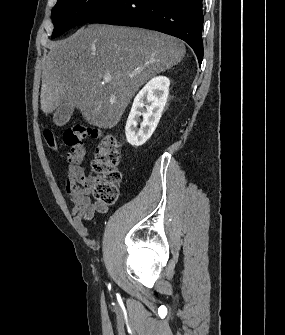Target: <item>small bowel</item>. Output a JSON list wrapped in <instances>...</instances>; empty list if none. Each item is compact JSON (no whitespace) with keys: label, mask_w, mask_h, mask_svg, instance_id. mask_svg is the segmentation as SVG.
Returning a JSON list of instances; mask_svg holds the SVG:
<instances>
[{"label":"small bowel","mask_w":285,"mask_h":335,"mask_svg":"<svg viewBox=\"0 0 285 335\" xmlns=\"http://www.w3.org/2000/svg\"><path fill=\"white\" fill-rule=\"evenodd\" d=\"M65 190L73 203L72 216L75 225L82 235L87 236L85 222L91 221L96 213H106L108 207L91 199L90 178L79 165L69 167Z\"/></svg>","instance_id":"c3829d8e"}]
</instances>
